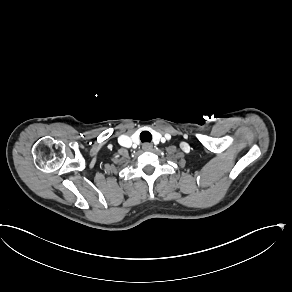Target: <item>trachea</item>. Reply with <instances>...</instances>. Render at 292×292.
I'll return each mask as SVG.
<instances>
[{"label":"trachea","instance_id":"obj_1","mask_svg":"<svg viewBox=\"0 0 292 292\" xmlns=\"http://www.w3.org/2000/svg\"><path fill=\"white\" fill-rule=\"evenodd\" d=\"M140 140L142 142H151L152 140V135L149 131H143L140 134Z\"/></svg>","mask_w":292,"mask_h":292}]
</instances>
